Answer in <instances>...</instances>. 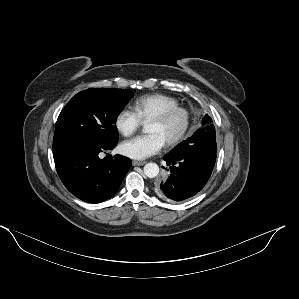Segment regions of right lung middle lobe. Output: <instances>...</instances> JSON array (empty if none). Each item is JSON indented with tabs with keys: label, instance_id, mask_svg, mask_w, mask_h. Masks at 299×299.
Instances as JSON below:
<instances>
[{
	"label": "right lung middle lobe",
	"instance_id": "dd1d6c3e",
	"mask_svg": "<svg viewBox=\"0 0 299 299\" xmlns=\"http://www.w3.org/2000/svg\"><path fill=\"white\" fill-rule=\"evenodd\" d=\"M132 96L130 90L116 88H90L76 94L57 119L53 149L76 143L116 145L114 124Z\"/></svg>",
	"mask_w": 299,
	"mask_h": 299
}]
</instances>
